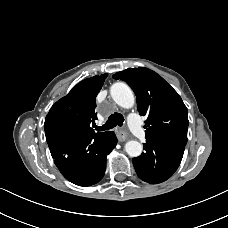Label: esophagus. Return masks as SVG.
Returning a JSON list of instances; mask_svg holds the SVG:
<instances>
[{
    "mask_svg": "<svg viewBox=\"0 0 228 228\" xmlns=\"http://www.w3.org/2000/svg\"><path fill=\"white\" fill-rule=\"evenodd\" d=\"M117 138L120 142L128 139V133L125 130L119 129L117 132Z\"/></svg>",
    "mask_w": 228,
    "mask_h": 228,
    "instance_id": "34e87169",
    "label": "esophagus"
}]
</instances>
